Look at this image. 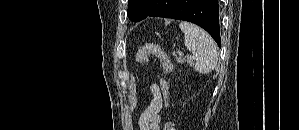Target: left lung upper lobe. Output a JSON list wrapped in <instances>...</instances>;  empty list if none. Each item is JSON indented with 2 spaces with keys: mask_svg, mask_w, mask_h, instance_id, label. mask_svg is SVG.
I'll list each match as a JSON object with an SVG mask.
<instances>
[{
  "mask_svg": "<svg viewBox=\"0 0 299 130\" xmlns=\"http://www.w3.org/2000/svg\"><path fill=\"white\" fill-rule=\"evenodd\" d=\"M149 9V0H129L128 1V17L130 20L140 21L143 15Z\"/></svg>",
  "mask_w": 299,
  "mask_h": 130,
  "instance_id": "1",
  "label": "left lung upper lobe"
}]
</instances>
